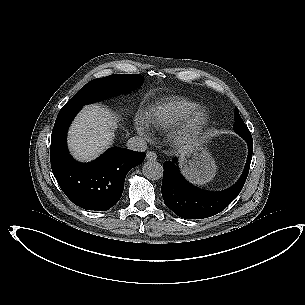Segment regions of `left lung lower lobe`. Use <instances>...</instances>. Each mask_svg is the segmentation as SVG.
I'll return each instance as SVG.
<instances>
[{
    "instance_id": "obj_1",
    "label": "left lung lower lobe",
    "mask_w": 305,
    "mask_h": 305,
    "mask_svg": "<svg viewBox=\"0 0 305 305\" xmlns=\"http://www.w3.org/2000/svg\"><path fill=\"white\" fill-rule=\"evenodd\" d=\"M244 137V136H243ZM248 146H252V140L244 137ZM176 159L164 163V176L161 187L164 203L176 215L182 218H206L218 214L224 210L238 195L236 193L229 203L212 206L205 199L218 192L198 190L189 185L175 166Z\"/></svg>"
}]
</instances>
